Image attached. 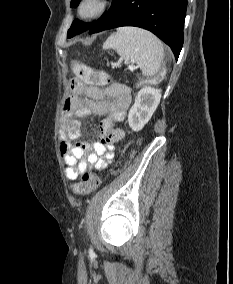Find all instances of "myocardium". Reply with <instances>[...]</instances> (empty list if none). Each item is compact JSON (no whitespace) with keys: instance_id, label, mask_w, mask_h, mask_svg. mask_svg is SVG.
Instances as JSON below:
<instances>
[{"instance_id":"1","label":"myocardium","mask_w":233,"mask_h":284,"mask_svg":"<svg viewBox=\"0 0 233 284\" xmlns=\"http://www.w3.org/2000/svg\"><path fill=\"white\" fill-rule=\"evenodd\" d=\"M107 6L108 0H80L77 14L81 19L93 20L100 16Z\"/></svg>"}]
</instances>
